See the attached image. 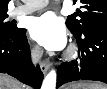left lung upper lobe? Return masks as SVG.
I'll return each mask as SVG.
<instances>
[{"mask_svg": "<svg viewBox=\"0 0 107 89\" xmlns=\"http://www.w3.org/2000/svg\"><path fill=\"white\" fill-rule=\"evenodd\" d=\"M84 11L77 10L67 17V27L81 34L86 28L96 24H107V0H81Z\"/></svg>", "mask_w": 107, "mask_h": 89, "instance_id": "1", "label": "left lung upper lobe"}]
</instances>
